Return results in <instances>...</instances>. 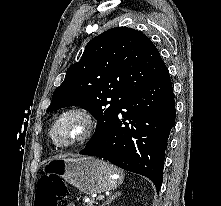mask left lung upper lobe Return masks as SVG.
Returning <instances> with one entry per match:
<instances>
[{"instance_id": "5c2ea615", "label": "left lung upper lobe", "mask_w": 221, "mask_h": 206, "mask_svg": "<svg viewBox=\"0 0 221 206\" xmlns=\"http://www.w3.org/2000/svg\"><path fill=\"white\" fill-rule=\"evenodd\" d=\"M167 70L154 44L143 33L109 29L91 40L79 62L71 65L54 91L47 112L79 105L97 119L89 146L114 124L121 107Z\"/></svg>"}]
</instances>
